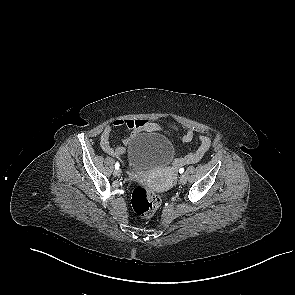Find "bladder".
Segmentation results:
<instances>
[{
	"label": "bladder",
	"instance_id": "31cf9c89",
	"mask_svg": "<svg viewBox=\"0 0 295 295\" xmlns=\"http://www.w3.org/2000/svg\"><path fill=\"white\" fill-rule=\"evenodd\" d=\"M174 147L163 135L146 132L134 137L127 148V161L136 170H150L169 165Z\"/></svg>",
	"mask_w": 295,
	"mask_h": 295
}]
</instances>
